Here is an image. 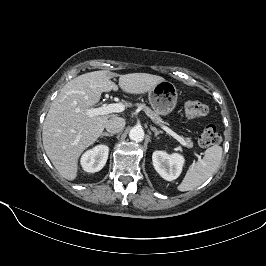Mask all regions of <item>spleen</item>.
Instances as JSON below:
<instances>
[{
	"label": "spleen",
	"mask_w": 266,
	"mask_h": 266,
	"mask_svg": "<svg viewBox=\"0 0 266 266\" xmlns=\"http://www.w3.org/2000/svg\"><path fill=\"white\" fill-rule=\"evenodd\" d=\"M222 147L214 145L204 152V157L193 163L177 189L181 192L189 191L203 184L219 168L222 159Z\"/></svg>",
	"instance_id": "spleen-1"
}]
</instances>
